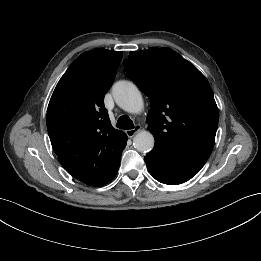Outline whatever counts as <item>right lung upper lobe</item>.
I'll use <instances>...</instances> for the list:
<instances>
[{
	"instance_id": "right-lung-upper-lobe-1",
	"label": "right lung upper lobe",
	"mask_w": 261,
	"mask_h": 261,
	"mask_svg": "<svg viewBox=\"0 0 261 261\" xmlns=\"http://www.w3.org/2000/svg\"><path fill=\"white\" fill-rule=\"evenodd\" d=\"M122 55L106 49L81 54L59 80L48 105L54 152L71 176L92 186L119 165L128 139L111 126L104 107Z\"/></svg>"
}]
</instances>
